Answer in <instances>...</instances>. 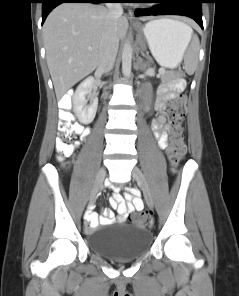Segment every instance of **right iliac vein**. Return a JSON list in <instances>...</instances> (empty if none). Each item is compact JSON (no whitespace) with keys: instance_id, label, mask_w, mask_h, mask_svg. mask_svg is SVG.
Returning <instances> with one entry per match:
<instances>
[{"instance_id":"63e3f726","label":"right iliac vein","mask_w":239,"mask_h":296,"mask_svg":"<svg viewBox=\"0 0 239 296\" xmlns=\"http://www.w3.org/2000/svg\"><path fill=\"white\" fill-rule=\"evenodd\" d=\"M105 176H106V171H105V168L102 167L98 172V175H97V178L95 181V185H94L92 193H91V200L92 201L94 199H96L99 190L102 188Z\"/></svg>"}]
</instances>
